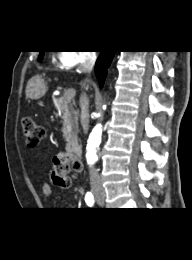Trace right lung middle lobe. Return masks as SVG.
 I'll list each match as a JSON object with an SVG mask.
<instances>
[{
    "label": "right lung middle lobe",
    "instance_id": "1",
    "mask_svg": "<svg viewBox=\"0 0 192 260\" xmlns=\"http://www.w3.org/2000/svg\"><path fill=\"white\" fill-rule=\"evenodd\" d=\"M43 54H44V51H40L39 60H41V59H42V57H43Z\"/></svg>",
    "mask_w": 192,
    "mask_h": 260
}]
</instances>
